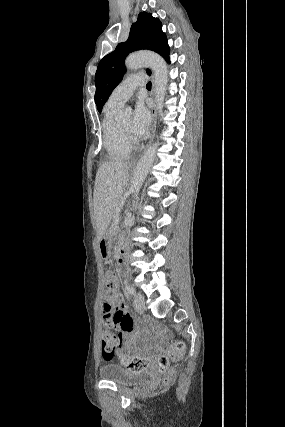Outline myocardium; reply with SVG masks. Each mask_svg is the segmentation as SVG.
Instances as JSON below:
<instances>
[{
    "mask_svg": "<svg viewBox=\"0 0 285 427\" xmlns=\"http://www.w3.org/2000/svg\"><path fill=\"white\" fill-rule=\"evenodd\" d=\"M119 126H120V129H121V131L123 132V134H124V136H125V138H126V140L129 142V143H131L132 141H133V138H132V136H131V133L129 132V131H127L123 126H122V124L119 122Z\"/></svg>",
    "mask_w": 285,
    "mask_h": 427,
    "instance_id": "myocardium-1",
    "label": "myocardium"
}]
</instances>
